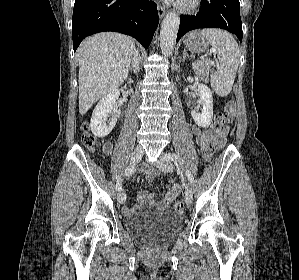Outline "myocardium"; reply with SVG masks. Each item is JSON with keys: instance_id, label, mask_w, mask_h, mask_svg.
<instances>
[{"instance_id": "1", "label": "myocardium", "mask_w": 299, "mask_h": 280, "mask_svg": "<svg viewBox=\"0 0 299 280\" xmlns=\"http://www.w3.org/2000/svg\"><path fill=\"white\" fill-rule=\"evenodd\" d=\"M201 0H181L177 3V7L182 12H192L196 10Z\"/></svg>"}]
</instances>
